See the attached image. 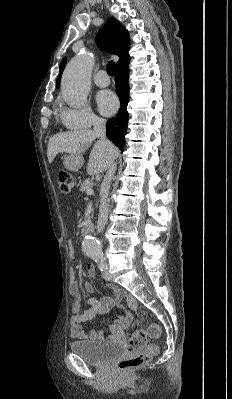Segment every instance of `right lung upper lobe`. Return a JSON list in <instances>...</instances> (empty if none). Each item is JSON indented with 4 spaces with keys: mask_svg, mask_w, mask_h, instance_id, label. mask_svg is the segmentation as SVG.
Listing matches in <instances>:
<instances>
[{
    "mask_svg": "<svg viewBox=\"0 0 232 399\" xmlns=\"http://www.w3.org/2000/svg\"><path fill=\"white\" fill-rule=\"evenodd\" d=\"M96 43L100 49H105L110 53L119 56L120 63L129 60V34L127 30L113 17L109 18L103 28L100 29L96 36ZM65 59L60 64V73L57 77V87L61 79L63 69L65 67Z\"/></svg>",
    "mask_w": 232,
    "mask_h": 399,
    "instance_id": "1",
    "label": "right lung upper lobe"
}]
</instances>
